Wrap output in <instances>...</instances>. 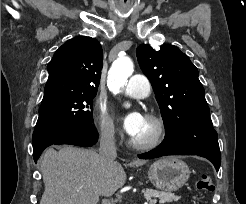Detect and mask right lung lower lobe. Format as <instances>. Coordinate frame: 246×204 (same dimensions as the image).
<instances>
[{"label":"right lung lower lobe","instance_id":"obj_1","mask_svg":"<svg viewBox=\"0 0 246 204\" xmlns=\"http://www.w3.org/2000/svg\"><path fill=\"white\" fill-rule=\"evenodd\" d=\"M97 140L98 133L94 126L69 128L61 131H40L33 134V158L36 162L44 149L50 145L72 144L90 147Z\"/></svg>","mask_w":246,"mask_h":204}]
</instances>
